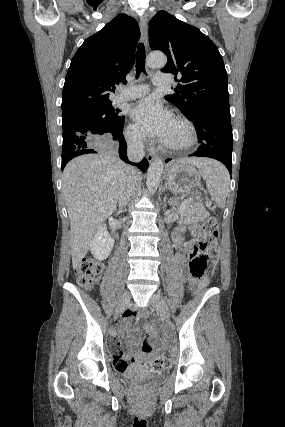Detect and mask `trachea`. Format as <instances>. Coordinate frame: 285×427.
Returning <instances> with one entry per match:
<instances>
[{
  "mask_svg": "<svg viewBox=\"0 0 285 427\" xmlns=\"http://www.w3.org/2000/svg\"><path fill=\"white\" fill-rule=\"evenodd\" d=\"M141 72L145 73V47L142 43H140L137 48L136 78Z\"/></svg>",
  "mask_w": 285,
  "mask_h": 427,
  "instance_id": "trachea-1",
  "label": "trachea"
}]
</instances>
